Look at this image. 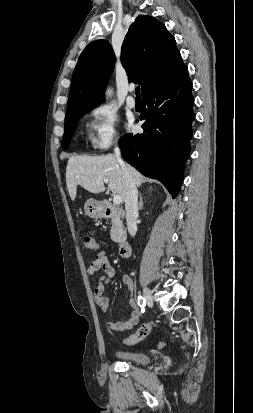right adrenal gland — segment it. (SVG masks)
<instances>
[{"instance_id":"2a0ac1e0","label":"right adrenal gland","mask_w":253,"mask_h":413,"mask_svg":"<svg viewBox=\"0 0 253 413\" xmlns=\"http://www.w3.org/2000/svg\"><path fill=\"white\" fill-rule=\"evenodd\" d=\"M139 210H141L143 208V198L142 195L140 194V200H139V206H138Z\"/></svg>"}]
</instances>
